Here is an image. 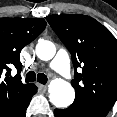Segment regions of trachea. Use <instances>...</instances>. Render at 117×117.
<instances>
[{
  "label": "trachea",
  "mask_w": 117,
  "mask_h": 117,
  "mask_svg": "<svg viewBox=\"0 0 117 117\" xmlns=\"http://www.w3.org/2000/svg\"><path fill=\"white\" fill-rule=\"evenodd\" d=\"M37 79V81L41 84H46L47 81H48V78L47 76L44 74V73H39L37 75V78H36V74L35 72L33 71H29L27 74H26V82H33Z\"/></svg>",
  "instance_id": "1"
}]
</instances>
